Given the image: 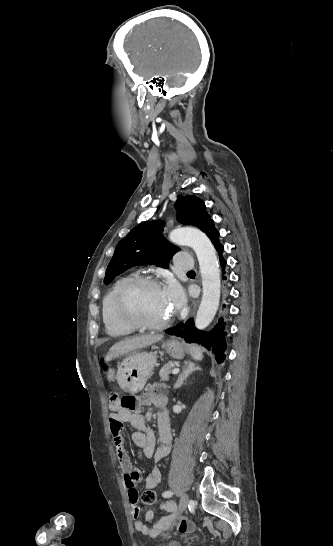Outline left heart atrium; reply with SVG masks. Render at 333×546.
Segmentation results:
<instances>
[{
	"label": "left heart atrium",
	"mask_w": 333,
	"mask_h": 546,
	"mask_svg": "<svg viewBox=\"0 0 333 546\" xmlns=\"http://www.w3.org/2000/svg\"><path fill=\"white\" fill-rule=\"evenodd\" d=\"M163 291L172 311H176L182 307L184 303V294L180 286L175 281L170 280L163 288Z\"/></svg>",
	"instance_id": "left-heart-atrium-1"
}]
</instances>
